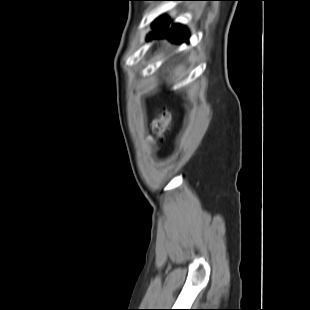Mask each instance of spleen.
I'll return each mask as SVG.
<instances>
[{"mask_svg":"<svg viewBox=\"0 0 310 310\" xmlns=\"http://www.w3.org/2000/svg\"><path fill=\"white\" fill-rule=\"evenodd\" d=\"M175 74H176L177 76L180 75V72H179L178 69H176Z\"/></svg>","mask_w":310,"mask_h":310,"instance_id":"1","label":"spleen"}]
</instances>
